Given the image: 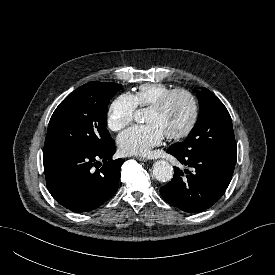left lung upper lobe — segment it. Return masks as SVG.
<instances>
[{
	"label": "left lung upper lobe",
	"mask_w": 275,
	"mask_h": 275,
	"mask_svg": "<svg viewBox=\"0 0 275 275\" xmlns=\"http://www.w3.org/2000/svg\"><path fill=\"white\" fill-rule=\"evenodd\" d=\"M199 117L188 137L172 145L180 152L206 149L237 154L231 117L223 103L208 89L198 94Z\"/></svg>",
	"instance_id": "left-lung-upper-lobe-1"
}]
</instances>
